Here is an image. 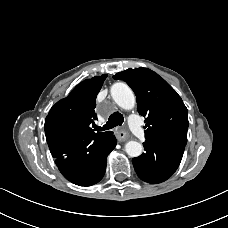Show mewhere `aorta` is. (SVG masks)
I'll return each mask as SVG.
<instances>
[{"label":"aorta","mask_w":228,"mask_h":228,"mask_svg":"<svg viewBox=\"0 0 228 228\" xmlns=\"http://www.w3.org/2000/svg\"><path fill=\"white\" fill-rule=\"evenodd\" d=\"M110 92L115 103L121 108L130 110L135 106V96L126 83L113 84ZM125 151L130 157H138L142 154L143 146L139 142L129 141L125 145Z\"/></svg>","instance_id":"aorta-1"}]
</instances>
